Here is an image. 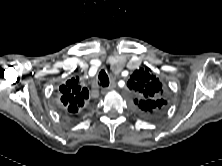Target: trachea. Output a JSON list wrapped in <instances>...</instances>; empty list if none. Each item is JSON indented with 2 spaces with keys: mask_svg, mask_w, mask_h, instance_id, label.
<instances>
[{
  "mask_svg": "<svg viewBox=\"0 0 222 166\" xmlns=\"http://www.w3.org/2000/svg\"><path fill=\"white\" fill-rule=\"evenodd\" d=\"M99 80H100V85H102L103 87L109 86V78L104 70H101V72L99 73Z\"/></svg>",
  "mask_w": 222,
  "mask_h": 166,
  "instance_id": "1",
  "label": "trachea"
}]
</instances>
